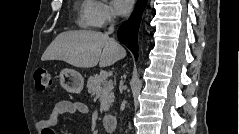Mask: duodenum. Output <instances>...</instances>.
Masks as SVG:
<instances>
[{
	"label": "duodenum",
	"mask_w": 239,
	"mask_h": 134,
	"mask_svg": "<svg viewBox=\"0 0 239 134\" xmlns=\"http://www.w3.org/2000/svg\"><path fill=\"white\" fill-rule=\"evenodd\" d=\"M105 130L112 133L116 127V117L114 115H106L102 119Z\"/></svg>",
	"instance_id": "obj_1"
}]
</instances>
